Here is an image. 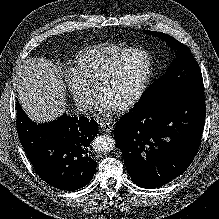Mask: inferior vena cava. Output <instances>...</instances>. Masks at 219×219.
I'll return each instance as SVG.
<instances>
[{"instance_id":"602c4592","label":"inferior vena cava","mask_w":219,"mask_h":219,"mask_svg":"<svg viewBox=\"0 0 219 219\" xmlns=\"http://www.w3.org/2000/svg\"><path fill=\"white\" fill-rule=\"evenodd\" d=\"M77 113L88 115L92 112V105L87 101H78L76 103Z\"/></svg>"}]
</instances>
